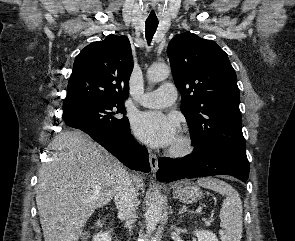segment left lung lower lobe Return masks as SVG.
I'll use <instances>...</instances> for the list:
<instances>
[{
  "label": "left lung lower lobe",
  "mask_w": 295,
  "mask_h": 241,
  "mask_svg": "<svg viewBox=\"0 0 295 241\" xmlns=\"http://www.w3.org/2000/svg\"><path fill=\"white\" fill-rule=\"evenodd\" d=\"M158 165L156 177L163 182L212 175H231L246 182L249 177L247 156L224 149L202 153L193 151L182 159L163 157L159 159Z\"/></svg>",
  "instance_id": "1"
}]
</instances>
